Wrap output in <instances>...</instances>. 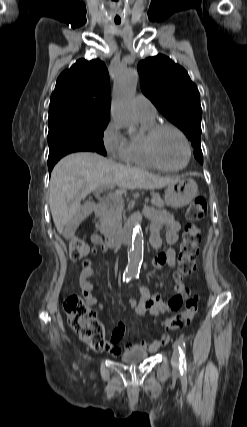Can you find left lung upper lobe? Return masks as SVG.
<instances>
[{"mask_svg": "<svg viewBox=\"0 0 247 427\" xmlns=\"http://www.w3.org/2000/svg\"><path fill=\"white\" fill-rule=\"evenodd\" d=\"M137 68L144 95L185 133L194 147L195 158L203 163L200 94L188 73L161 54L139 62Z\"/></svg>", "mask_w": 247, "mask_h": 427, "instance_id": "left-lung-upper-lobe-1", "label": "left lung upper lobe"}]
</instances>
